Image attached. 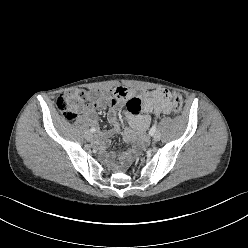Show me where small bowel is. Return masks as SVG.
<instances>
[{
	"mask_svg": "<svg viewBox=\"0 0 248 248\" xmlns=\"http://www.w3.org/2000/svg\"><path fill=\"white\" fill-rule=\"evenodd\" d=\"M163 90H138L125 87H117L110 92L93 91L91 99L93 105L84 107L81 103L72 98L71 106L77 112H85L87 115L93 116L94 108L109 106L108 120L112 126L110 132H105L96 140V144L100 149H105L109 143V137L112 133H118L121 125L117 117L116 106L120 102H127L128 121L132 130L127 131V136L133 138L142 134L152 123L153 118L162 114H169L172 110V103L169 98L162 95ZM153 113V117L149 115ZM144 144V138L138 141V146ZM131 154H125L121 157L123 162L128 161Z\"/></svg>",
	"mask_w": 248,
	"mask_h": 248,
	"instance_id": "1",
	"label": "small bowel"
}]
</instances>
